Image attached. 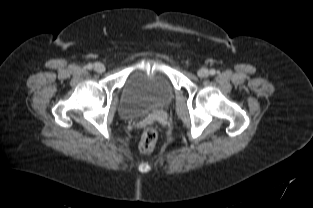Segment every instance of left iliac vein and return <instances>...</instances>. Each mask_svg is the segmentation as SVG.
I'll return each instance as SVG.
<instances>
[{
    "mask_svg": "<svg viewBox=\"0 0 313 208\" xmlns=\"http://www.w3.org/2000/svg\"><path fill=\"white\" fill-rule=\"evenodd\" d=\"M197 74H198L199 77L204 78V77L208 76L209 72H208L207 69L202 68V69H200V70L198 71Z\"/></svg>",
    "mask_w": 313,
    "mask_h": 208,
    "instance_id": "obj_1",
    "label": "left iliac vein"
}]
</instances>
